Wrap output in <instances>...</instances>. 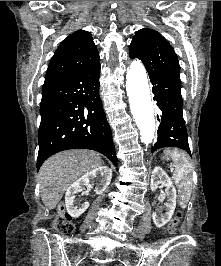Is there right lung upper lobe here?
<instances>
[{
    "mask_svg": "<svg viewBox=\"0 0 221 266\" xmlns=\"http://www.w3.org/2000/svg\"><path fill=\"white\" fill-rule=\"evenodd\" d=\"M99 62L90 32L79 30L61 42L48 66L43 87L82 72Z\"/></svg>",
    "mask_w": 221,
    "mask_h": 266,
    "instance_id": "obj_1",
    "label": "right lung upper lobe"
}]
</instances>
